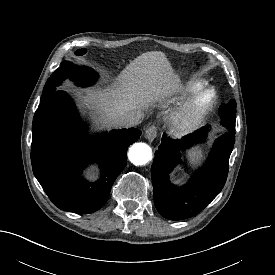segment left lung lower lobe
I'll return each instance as SVG.
<instances>
[{
    "instance_id": "1",
    "label": "left lung lower lobe",
    "mask_w": 275,
    "mask_h": 275,
    "mask_svg": "<svg viewBox=\"0 0 275 275\" xmlns=\"http://www.w3.org/2000/svg\"><path fill=\"white\" fill-rule=\"evenodd\" d=\"M221 124L227 132L215 141L206 165L180 188L169 180L170 172L180 161L179 150L203 142L209 126L181 140H172L166 134L163 135L151 167L154 204L163 217L170 220L192 217L203 210L222 190L235 143V125L222 118Z\"/></svg>"
}]
</instances>
